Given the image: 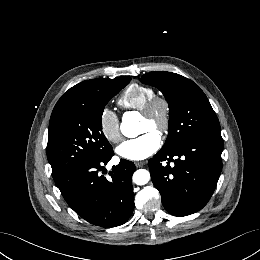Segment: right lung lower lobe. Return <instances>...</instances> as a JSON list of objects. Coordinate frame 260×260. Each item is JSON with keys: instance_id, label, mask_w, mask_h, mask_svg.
Listing matches in <instances>:
<instances>
[{"instance_id": "98d812e1", "label": "right lung lower lobe", "mask_w": 260, "mask_h": 260, "mask_svg": "<svg viewBox=\"0 0 260 260\" xmlns=\"http://www.w3.org/2000/svg\"><path fill=\"white\" fill-rule=\"evenodd\" d=\"M113 155L112 151L103 158L79 162L53 177L69 206L86 221L101 227L125 223L134 209L133 162L121 159L112 167L109 179L100 173Z\"/></svg>"}]
</instances>
